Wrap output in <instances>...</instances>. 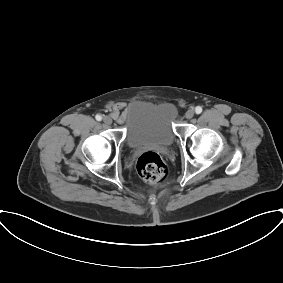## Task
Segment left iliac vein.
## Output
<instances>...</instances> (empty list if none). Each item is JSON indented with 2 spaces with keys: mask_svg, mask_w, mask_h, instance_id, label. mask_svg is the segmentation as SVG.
<instances>
[{
  "mask_svg": "<svg viewBox=\"0 0 283 283\" xmlns=\"http://www.w3.org/2000/svg\"><path fill=\"white\" fill-rule=\"evenodd\" d=\"M193 116H194V110L189 109V110L186 111L185 117H186L187 119H191V118H193Z\"/></svg>",
  "mask_w": 283,
  "mask_h": 283,
  "instance_id": "1",
  "label": "left iliac vein"
}]
</instances>
